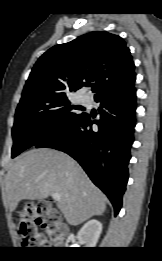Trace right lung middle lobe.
Masks as SVG:
<instances>
[{"instance_id":"1","label":"right lung middle lobe","mask_w":162,"mask_h":261,"mask_svg":"<svg viewBox=\"0 0 162 261\" xmlns=\"http://www.w3.org/2000/svg\"><path fill=\"white\" fill-rule=\"evenodd\" d=\"M68 96H35L18 104L12 129V158L64 129L85 113L77 114Z\"/></svg>"}]
</instances>
